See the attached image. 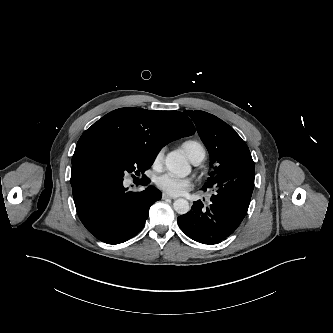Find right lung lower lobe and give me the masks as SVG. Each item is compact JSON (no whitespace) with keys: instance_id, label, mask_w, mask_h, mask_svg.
<instances>
[{"instance_id":"right-lung-lower-lobe-1","label":"right lung lower lobe","mask_w":333,"mask_h":333,"mask_svg":"<svg viewBox=\"0 0 333 333\" xmlns=\"http://www.w3.org/2000/svg\"><path fill=\"white\" fill-rule=\"evenodd\" d=\"M71 185L79 219L90 233L108 244L123 243L140 232L150 206L160 199L155 187L128 192L123 178L80 159L72 162Z\"/></svg>"}]
</instances>
